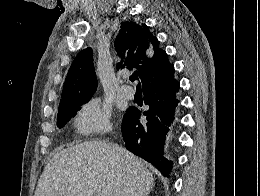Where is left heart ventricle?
I'll return each mask as SVG.
<instances>
[{
    "label": "left heart ventricle",
    "mask_w": 260,
    "mask_h": 196,
    "mask_svg": "<svg viewBox=\"0 0 260 196\" xmlns=\"http://www.w3.org/2000/svg\"><path fill=\"white\" fill-rule=\"evenodd\" d=\"M55 192H64V190H54ZM96 192H108V190H96Z\"/></svg>",
    "instance_id": "1"
}]
</instances>
